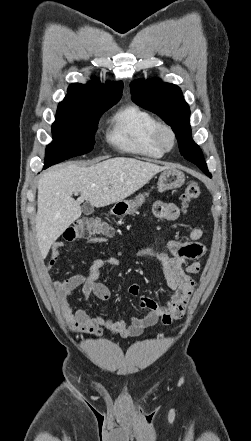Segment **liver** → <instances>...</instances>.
<instances>
[{"label":"liver","instance_id":"6515ba94","mask_svg":"<svg viewBox=\"0 0 251 441\" xmlns=\"http://www.w3.org/2000/svg\"><path fill=\"white\" fill-rule=\"evenodd\" d=\"M169 168L134 158L115 157L90 167L69 164L44 173L38 182L35 221L42 259L59 236L81 216L80 204L84 200L97 208L119 202ZM73 193H80V197L73 199Z\"/></svg>","mask_w":251,"mask_h":441}]
</instances>
